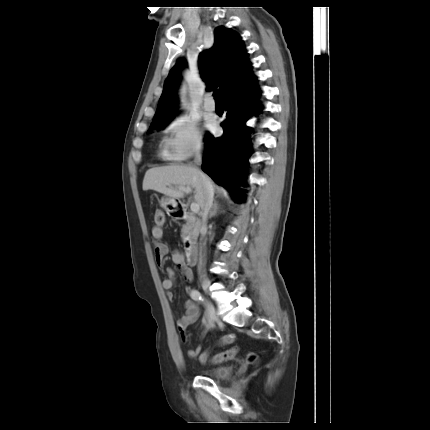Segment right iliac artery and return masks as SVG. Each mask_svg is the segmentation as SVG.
Here are the masks:
<instances>
[{
    "label": "right iliac artery",
    "mask_w": 430,
    "mask_h": 430,
    "mask_svg": "<svg viewBox=\"0 0 430 430\" xmlns=\"http://www.w3.org/2000/svg\"><path fill=\"white\" fill-rule=\"evenodd\" d=\"M190 297L193 300L198 301V302L204 301V297L202 296V294L198 290H195V289L191 290ZM207 316H208L210 326L213 327L214 315L208 310Z\"/></svg>",
    "instance_id": "82829eb1"
}]
</instances>
